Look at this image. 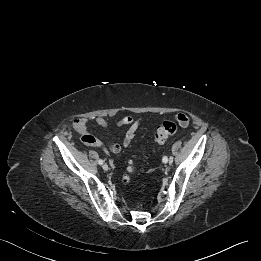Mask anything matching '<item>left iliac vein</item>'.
I'll list each match as a JSON object with an SVG mask.
<instances>
[{
  "label": "left iliac vein",
  "mask_w": 261,
  "mask_h": 261,
  "mask_svg": "<svg viewBox=\"0 0 261 261\" xmlns=\"http://www.w3.org/2000/svg\"><path fill=\"white\" fill-rule=\"evenodd\" d=\"M168 162L171 164L172 162L170 160H168ZM167 163V162H166Z\"/></svg>",
  "instance_id": "obj_1"
}]
</instances>
